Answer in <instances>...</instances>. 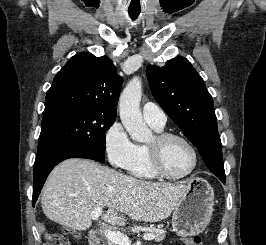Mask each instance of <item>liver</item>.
Segmentation results:
<instances>
[{
	"instance_id": "liver-1",
	"label": "liver",
	"mask_w": 266,
	"mask_h": 245,
	"mask_svg": "<svg viewBox=\"0 0 266 245\" xmlns=\"http://www.w3.org/2000/svg\"><path fill=\"white\" fill-rule=\"evenodd\" d=\"M189 187L182 183H151L121 175L89 159H67L50 173L42 191L44 215L75 231L90 229L91 211L107 209L102 221L126 227L132 221L157 223L170 217Z\"/></svg>"
}]
</instances>
